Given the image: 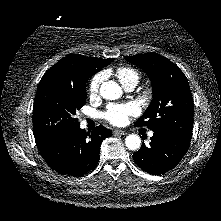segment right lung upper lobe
Segmentation results:
<instances>
[{
	"label": "right lung upper lobe",
	"mask_w": 221,
	"mask_h": 221,
	"mask_svg": "<svg viewBox=\"0 0 221 221\" xmlns=\"http://www.w3.org/2000/svg\"><path fill=\"white\" fill-rule=\"evenodd\" d=\"M113 59H101L70 54L53 65L42 77L44 81L65 82L72 85L85 84L96 72L110 64Z\"/></svg>",
	"instance_id": "cb5924a9"
}]
</instances>
